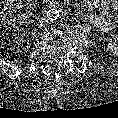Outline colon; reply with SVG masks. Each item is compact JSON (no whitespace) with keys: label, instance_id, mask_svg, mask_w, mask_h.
I'll list each match as a JSON object with an SVG mask.
<instances>
[{"label":"colon","instance_id":"1","mask_svg":"<svg viewBox=\"0 0 118 118\" xmlns=\"http://www.w3.org/2000/svg\"><path fill=\"white\" fill-rule=\"evenodd\" d=\"M31 11L30 0H6L2 12V20L10 22L14 17H25Z\"/></svg>","mask_w":118,"mask_h":118}]
</instances>
